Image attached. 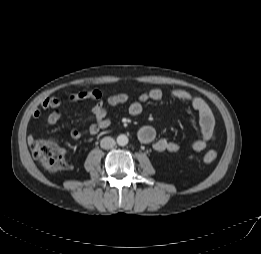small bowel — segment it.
<instances>
[{
    "label": "small bowel",
    "mask_w": 261,
    "mask_h": 254,
    "mask_svg": "<svg viewBox=\"0 0 261 254\" xmlns=\"http://www.w3.org/2000/svg\"><path fill=\"white\" fill-rule=\"evenodd\" d=\"M172 99L187 103L199 117L201 127V138L193 141L190 145L194 151H202L209 144L216 140V124L214 116L209 106L199 97L193 96L184 89H174L171 91ZM164 93L159 88H152L140 93L135 99H132L128 93L113 94L104 99L100 90H82L76 93L68 94L65 97L48 96L42 102L39 108L33 112V118L37 121L42 114V110H51L46 118V126L53 127L61 118L60 107L65 103H75L87 100L94 101L91 107V116L85 121L90 122L87 128H73L71 137L80 139L86 134L95 135L99 131L109 127L111 119L109 109L127 105L128 113L133 116H139L143 111L144 103L148 101H160ZM139 140L144 144H151L157 152L176 153L180 150V145L166 138H158L155 129L152 126L145 125L139 129ZM32 137H29V143H32Z\"/></svg>",
    "instance_id": "1"
}]
</instances>
